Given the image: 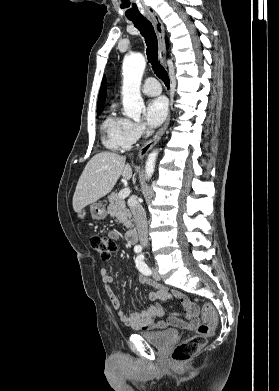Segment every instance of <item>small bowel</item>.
Returning <instances> with one entry per match:
<instances>
[{
	"label": "small bowel",
	"mask_w": 279,
	"mask_h": 391,
	"mask_svg": "<svg viewBox=\"0 0 279 391\" xmlns=\"http://www.w3.org/2000/svg\"><path fill=\"white\" fill-rule=\"evenodd\" d=\"M108 237L116 240L118 239L119 235L117 232L111 231L108 234ZM100 275L107 295L112 303V306L117 311V315L120 321L129 328L134 330H154L176 327L192 330L200 324L199 309L196 304L191 302L184 294L176 290H169L165 286L153 281L147 276H142L140 281L143 284L156 288V292L149 294L150 299L166 300L173 298L177 300L183 307V311L180 313L183 318L172 315L169 316L166 320L155 321L156 318H162L165 315V311L160 304H155L145 310L136 311L130 315H127L121 310L120 302L113 290V277L105 268L100 269Z\"/></svg>",
	"instance_id": "small-bowel-1"
}]
</instances>
